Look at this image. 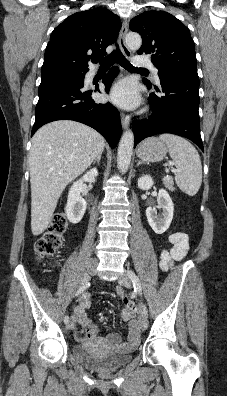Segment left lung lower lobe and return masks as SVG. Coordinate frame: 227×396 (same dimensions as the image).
<instances>
[{
	"label": "left lung lower lobe",
	"instance_id": "0a47b994",
	"mask_svg": "<svg viewBox=\"0 0 227 396\" xmlns=\"http://www.w3.org/2000/svg\"><path fill=\"white\" fill-rule=\"evenodd\" d=\"M159 78L165 95L151 93L148 101L153 113L147 120L133 122L134 147L147 137L173 133L190 139L204 151L198 113L199 79L172 74ZM144 83L151 88V83ZM154 88L160 92L158 87Z\"/></svg>",
	"mask_w": 227,
	"mask_h": 396
}]
</instances>
